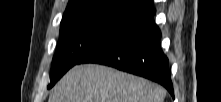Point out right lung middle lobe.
<instances>
[{
	"mask_svg": "<svg viewBox=\"0 0 221 102\" xmlns=\"http://www.w3.org/2000/svg\"><path fill=\"white\" fill-rule=\"evenodd\" d=\"M141 13L138 9L109 0L93 1L65 12L50 72L51 84L48 88L90 51Z\"/></svg>",
	"mask_w": 221,
	"mask_h": 102,
	"instance_id": "obj_1",
	"label": "right lung middle lobe"
}]
</instances>
